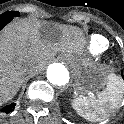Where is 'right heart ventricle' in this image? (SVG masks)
<instances>
[{
  "instance_id": "obj_1",
  "label": "right heart ventricle",
  "mask_w": 124,
  "mask_h": 124,
  "mask_svg": "<svg viewBox=\"0 0 124 124\" xmlns=\"http://www.w3.org/2000/svg\"><path fill=\"white\" fill-rule=\"evenodd\" d=\"M109 46V40L100 35V34H92L88 36L86 41V51L91 56H98L103 53Z\"/></svg>"
}]
</instances>
